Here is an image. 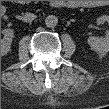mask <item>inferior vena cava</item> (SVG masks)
I'll list each match as a JSON object with an SVG mask.
<instances>
[{"mask_svg": "<svg viewBox=\"0 0 109 109\" xmlns=\"http://www.w3.org/2000/svg\"><path fill=\"white\" fill-rule=\"evenodd\" d=\"M36 18V15L33 13H25V15L22 17V21L30 23Z\"/></svg>", "mask_w": 109, "mask_h": 109, "instance_id": "inferior-vena-cava-1", "label": "inferior vena cava"}]
</instances>
